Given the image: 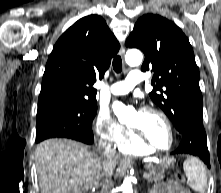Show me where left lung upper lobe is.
Masks as SVG:
<instances>
[{"label":"left lung upper lobe","instance_id":"5c2ea615","mask_svg":"<svg viewBox=\"0 0 221 193\" xmlns=\"http://www.w3.org/2000/svg\"><path fill=\"white\" fill-rule=\"evenodd\" d=\"M126 46L145 54L142 71L151 70L158 86L149 93L182 133L202 110L199 70L192 47L181 29L166 18L145 14L138 19ZM165 88V90L162 89Z\"/></svg>","mask_w":221,"mask_h":193}]
</instances>
